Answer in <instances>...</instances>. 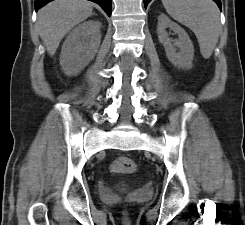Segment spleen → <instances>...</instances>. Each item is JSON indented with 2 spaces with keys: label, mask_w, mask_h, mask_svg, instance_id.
I'll list each match as a JSON object with an SVG mask.
<instances>
[{
  "label": "spleen",
  "mask_w": 245,
  "mask_h": 225,
  "mask_svg": "<svg viewBox=\"0 0 245 225\" xmlns=\"http://www.w3.org/2000/svg\"><path fill=\"white\" fill-rule=\"evenodd\" d=\"M167 13L196 35L201 55L209 58L218 42L220 16L212 0H162Z\"/></svg>",
  "instance_id": "1"
}]
</instances>
